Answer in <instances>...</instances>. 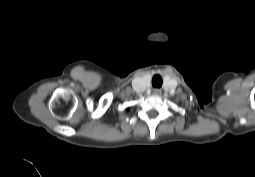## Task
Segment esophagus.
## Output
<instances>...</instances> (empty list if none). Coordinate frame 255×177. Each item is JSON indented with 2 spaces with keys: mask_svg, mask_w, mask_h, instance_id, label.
<instances>
[{
  "mask_svg": "<svg viewBox=\"0 0 255 177\" xmlns=\"http://www.w3.org/2000/svg\"><path fill=\"white\" fill-rule=\"evenodd\" d=\"M161 89H158V88H155L154 90H153V94L154 95H160L161 94Z\"/></svg>",
  "mask_w": 255,
  "mask_h": 177,
  "instance_id": "1",
  "label": "esophagus"
}]
</instances>
